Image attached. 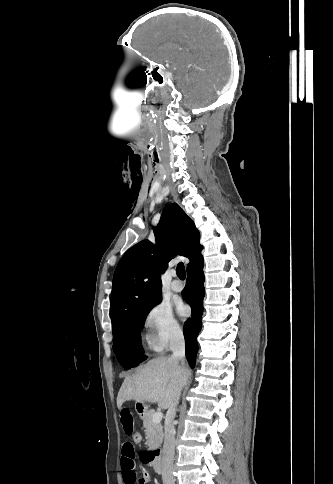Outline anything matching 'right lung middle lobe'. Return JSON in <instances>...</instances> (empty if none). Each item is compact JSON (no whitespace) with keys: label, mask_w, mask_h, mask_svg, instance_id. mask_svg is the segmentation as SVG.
<instances>
[{"label":"right lung middle lobe","mask_w":333,"mask_h":484,"mask_svg":"<svg viewBox=\"0 0 333 484\" xmlns=\"http://www.w3.org/2000/svg\"><path fill=\"white\" fill-rule=\"evenodd\" d=\"M161 302V298L127 317L113 335V350L125 369H130L144 361L141 345V328L150 310Z\"/></svg>","instance_id":"1"}]
</instances>
